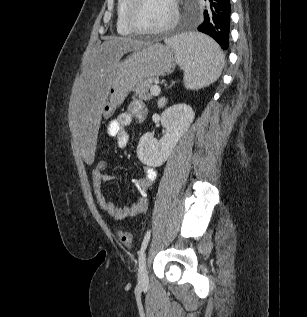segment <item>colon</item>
I'll use <instances>...</instances> for the list:
<instances>
[{
    "label": "colon",
    "mask_w": 307,
    "mask_h": 317,
    "mask_svg": "<svg viewBox=\"0 0 307 317\" xmlns=\"http://www.w3.org/2000/svg\"><path fill=\"white\" fill-rule=\"evenodd\" d=\"M106 167H107V162L104 159L102 158L96 159L94 170L98 172H104L106 170ZM118 239L124 245H130L132 242L131 234L125 231L118 232Z\"/></svg>",
    "instance_id": "5ec220e1"
}]
</instances>
